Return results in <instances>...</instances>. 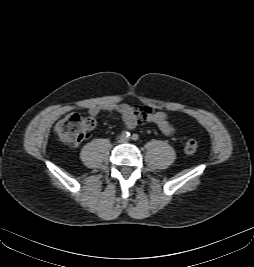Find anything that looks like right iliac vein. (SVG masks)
<instances>
[{"label": "right iliac vein", "mask_w": 254, "mask_h": 267, "mask_svg": "<svg viewBox=\"0 0 254 267\" xmlns=\"http://www.w3.org/2000/svg\"><path fill=\"white\" fill-rule=\"evenodd\" d=\"M118 142H123V138H120V139L118 140Z\"/></svg>", "instance_id": "63e3f726"}]
</instances>
